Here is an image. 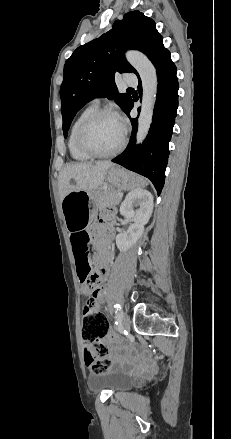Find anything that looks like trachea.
<instances>
[{
  "instance_id": "3493384b",
  "label": "trachea",
  "mask_w": 231,
  "mask_h": 439,
  "mask_svg": "<svg viewBox=\"0 0 231 439\" xmlns=\"http://www.w3.org/2000/svg\"><path fill=\"white\" fill-rule=\"evenodd\" d=\"M128 90H133V88H129Z\"/></svg>"
}]
</instances>
